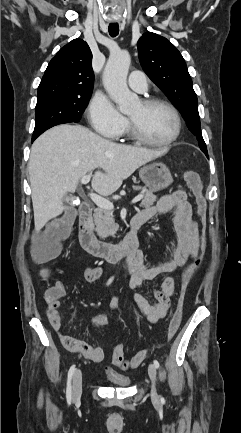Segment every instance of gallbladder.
Returning a JSON list of instances; mask_svg holds the SVG:
<instances>
[{"mask_svg": "<svg viewBox=\"0 0 241 433\" xmlns=\"http://www.w3.org/2000/svg\"><path fill=\"white\" fill-rule=\"evenodd\" d=\"M64 200L65 201H72L73 200V198L70 196V195H65L64 196ZM66 209H67V214H72L73 216H75L76 215V213H77V211L73 208V207H66Z\"/></svg>", "mask_w": 241, "mask_h": 433, "instance_id": "gallbladder-1", "label": "gallbladder"}]
</instances>
